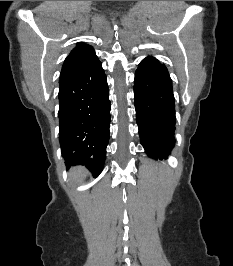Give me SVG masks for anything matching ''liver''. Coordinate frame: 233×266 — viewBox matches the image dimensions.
<instances>
[{
    "instance_id": "liver-1",
    "label": "liver",
    "mask_w": 233,
    "mask_h": 266,
    "mask_svg": "<svg viewBox=\"0 0 233 266\" xmlns=\"http://www.w3.org/2000/svg\"><path fill=\"white\" fill-rule=\"evenodd\" d=\"M87 174V170L84 167H75L70 171V176L76 180H82Z\"/></svg>"
}]
</instances>
